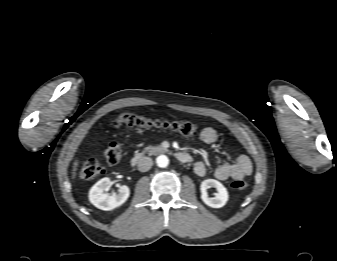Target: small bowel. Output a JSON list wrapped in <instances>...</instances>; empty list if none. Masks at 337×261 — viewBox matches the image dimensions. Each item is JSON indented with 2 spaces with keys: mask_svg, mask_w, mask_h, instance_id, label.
I'll use <instances>...</instances> for the list:
<instances>
[{
  "mask_svg": "<svg viewBox=\"0 0 337 261\" xmlns=\"http://www.w3.org/2000/svg\"><path fill=\"white\" fill-rule=\"evenodd\" d=\"M199 138L206 144H213L218 139V133L215 129L206 127L202 129ZM252 170L253 166L249 157L239 154L234 157L232 163H224L219 165L214 171V176L221 181L227 180L229 178L241 179L249 176L252 173ZM194 171L198 176L203 177L207 174L206 165L199 161L195 164Z\"/></svg>",
  "mask_w": 337,
  "mask_h": 261,
  "instance_id": "c3829d8e",
  "label": "small bowel"
}]
</instances>
